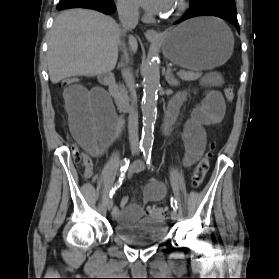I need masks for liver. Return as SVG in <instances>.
Segmentation results:
<instances>
[{
  "label": "liver",
  "instance_id": "liver-1",
  "mask_svg": "<svg viewBox=\"0 0 279 279\" xmlns=\"http://www.w3.org/2000/svg\"><path fill=\"white\" fill-rule=\"evenodd\" d=\"M121 36L119 25L103 13L88 9L63 11L49 33L47 62L51 82L112 71ZM129 46L132 52L137 51L135 37H129Z\"/></svg>",
  "mask_w": 279,
  "mask_h": 279
}]
</instances>
